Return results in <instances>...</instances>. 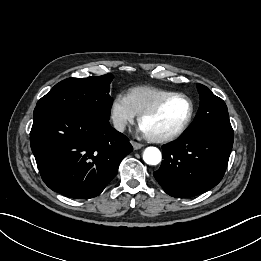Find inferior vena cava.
I'll list each match as a JSON object with an SVG mask.
<instances>
[{"label": "inferior vena cava", "instance_id": "602c4592", "mask_svg": "<svg viewBox=\"0 0 261 261\" xmlns=\"http://www.w3.org/2000/svg\"><path fill=\"white\" fill-rule=\"evenodd\" d=\"M113 124H114V128L120 132L124 131L125 126H126L125 122L120 119H115L113 121Z\"/></svg>", "mask_w": 261, "mask_h": 261}]
</instances>
